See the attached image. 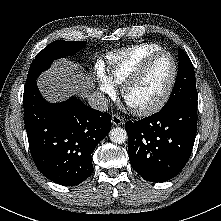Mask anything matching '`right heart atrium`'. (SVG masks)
Wrapping results in <instances>:
<instances>
[{
	"mask_svg": "<svg viewBox=\"0 0 221 221\" xmlns=\"http://www.w3.org/2000/svg\"><path fill=\"white\" fill-rule=\"evenodd\" d=\"M95 79L100 92L112 96L115 93V87L112 80L108 77L102 68H97L95 71Z\"/></svg>",
	"mask_w": 221,
	"mask_h": 221,
	"instance_id": "d8ad5b80",
	"label": "right heart atrium"
}]
</instances>
